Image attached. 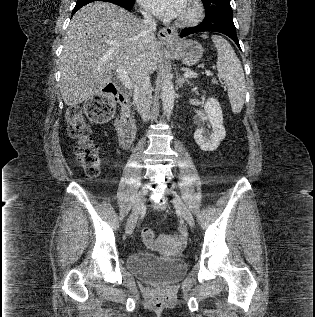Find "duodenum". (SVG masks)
<instances>
[{
  "mask_svg": "<svg viewBox=\"0 0 315 317\" xmlns=\"http://www.w3.org/2000/svg\"><path fill=\"white\" fill-rule=\"evenodd\" d=\"M115 85L118 91V102L120 104V112L115 119V128L119 136L120 144L123 148L128 149L136 134V126L132 116V101L119 80L115 81Z\"/></svg>",
  "mask_w": 315,
  "mask_h": 317,
  "instance_id": "410a0bca",
  "label": "duodenum"
}]
</instances>
